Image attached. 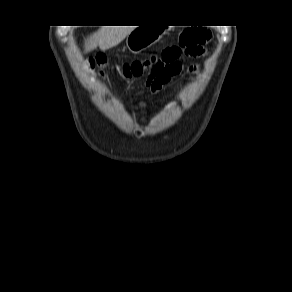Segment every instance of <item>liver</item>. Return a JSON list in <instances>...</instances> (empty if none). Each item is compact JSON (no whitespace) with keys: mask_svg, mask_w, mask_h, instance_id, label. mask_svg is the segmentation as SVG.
I'll return each instance as SVG.
<instances>
[{"mask_svg":"<svg viewBox=\"0 0 292 292\" xmlns=\"http://www.w3.org/2000/svg\"><path fill=\"white\" fill-rule=\"evenodd\" d=\"M134 29L135 26L102 27L97 33L87 40L86 49L87 51H91L99 46L101 50H107L118 45Z\"/></svg>","mask_w":292,"mask_h":292,"instance_id":"obj_1","label":"liver"}]
</instances>
